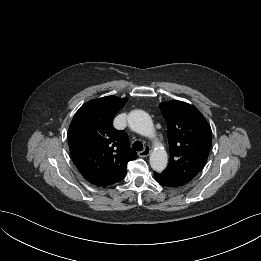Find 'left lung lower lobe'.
Listing matches in <instances>:
<instances>
[{"instance_id":"left-lung-lower-lobe-1","label":"left lung lower lobe","mask_w":261,"mask_h":261,"mask_svg":"<svg viewBox=\"0 0 261 261\" xmlns=\"http://www.w3.org/2000/svg\"><path fill=\"white\" fill-rule=\"evenodd\" d=\"M154 176H155V180L158 183H160L161 185L166 186V187H179V186L183 185L179 181L174 180L170 177H167L161 173L154 172Z\"/></svg>"}]
</instances>
